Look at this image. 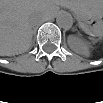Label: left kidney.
<instances>
[{"label": "left kidney", "instance_id": "left-kidney-1", "mask_svg": "<svg viewBox=\"0 0 103 103\" xmlns=\"http://www.w3.org/2000/svg\"><path fill=\"white\" fill-rule=\"evenodd\" d=\"M68 44L77 53H82V52L86 51L85 44L76 36H69Z\"/></svg>", "mask_w": 103, "mask_h": 103}]
</instances>
